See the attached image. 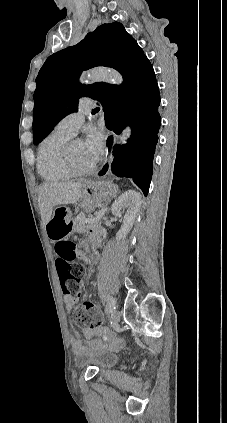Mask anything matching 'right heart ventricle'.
Here are the masks:
<instances>
[{
  "label": "right heart ventricle",
  "instance_id": "1",
  "mask_svg": "<svg viewBox=\"0 0 227 423\" xmlns=\"http://www.w3.org/2000/svg\"><path fill=\"white\" fill-rule=\"evenodd\" d=\"M73 136L59 126L50 131L40 142L37 149V172L48 182H57L68 178L64 171L60 152Z\"/></svg>",
  "mask_w": 227,
  "mask_h": 423
}]
</instances>
